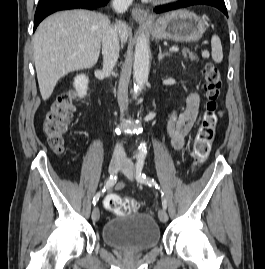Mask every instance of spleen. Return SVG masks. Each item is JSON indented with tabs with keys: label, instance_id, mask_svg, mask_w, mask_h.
Returning a JSON list of instances; mask_svg holds the SVG:
<instances>
[{
	"label": "spleen",
	"instance_id": "3e777b00",
	"mask_svg": "<svg viewBox=\"0 0 265 269\" xmlns=\"http://www.w3.org/2000/svg\"><path fill=\"white\" fill-rule=\"evenodd\" d=\"M211 55L216 63H220L223 60L221 40L217 35H213L211 39Z\"/></svg>",
	"mask_w": 265,
	"mask_h": 269
}]
</instances>
